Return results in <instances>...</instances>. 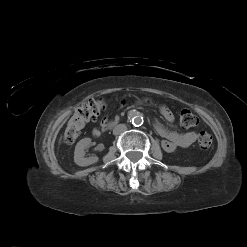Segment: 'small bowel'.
Wrapping results in <instances>:
<instances>
[{
	"label": "small bowel",
	"instance_id": "c3829d8e",
	"mask_svg": "<svg viewBox=\"0 0 247 247\" xmlns=\"http://www.w3.org/2000/svg\"><path fill=\"white\" fill-rule=\"evenodd\" d=\"M123 104H125V100L119 99V102H116V104L112 106V109L115 108L120 109V106H123ZM112 109H109V112H112ZM159 110L161 115L165 118L166 121L170 123L173 122L174 120L173 114L166 105L163 104L159 105ZM105 127H106V122L104 121L102 123V128ZM155 128L158 134L163 138L161 142V146L163 150L168 153L174 152L177 148L189 147L195 142L197 138V134L194 131L179 133L177 131L168 129L160 122H156ZM92 133L94 136H99L101 130L99 128H94Z\"/></svg>",
	"mask_w": 247,
	"mask_h": 247
}]
</instances>
